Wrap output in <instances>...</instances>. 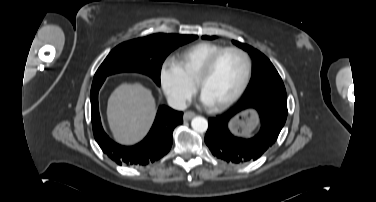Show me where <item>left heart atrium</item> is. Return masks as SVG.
Instances as JSON below:
<instances>
[{
	"label": "left heart atrium",
	"instance_id": "39dd6f15",
	"mask_svg": "<svg viewBox=\"0 0 376 202\" xmlns=\"http://www.w3.org/2000/svg\"><path fill=\"white\" fill-rule=\"evenodd\" d=\"M202 100L205 104L207 105H210L209 101L204 97V95L202 94Z\"/></svg>",
	"mask_w": 376,
	"mask_h": 202
}]
</instances>
